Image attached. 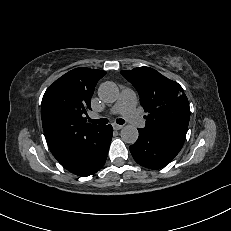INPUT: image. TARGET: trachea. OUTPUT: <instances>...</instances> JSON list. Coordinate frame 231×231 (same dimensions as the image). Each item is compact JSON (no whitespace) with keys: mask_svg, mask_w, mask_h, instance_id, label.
Listing matches in <instances>:
<instances>
[{"mask_svg":"<svg viewBox=\"0 0 231 231\" xmlns=\"http://www.w3.org/2000/svg\"><path fill=\"white\" fill-rule=\"evenodd\" d=\"M90 122L95 123V124H99V125H105L108 123V119L106 118H101V119H89ZM116 123L122 125L125 123L124 119H116Z\"/></svg>","mask_w":231,"mask_h":231,"instance_id":"obj_1","label":"trachea"}]
</instances>
